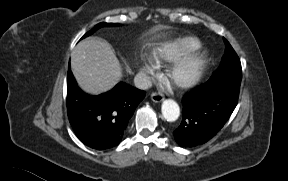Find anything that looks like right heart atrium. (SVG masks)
Listing matches in <instances>:
<instances>
[{
  "label": "right heart atrium",
  "instance_id": "obj_1",
  "mask_svg": "<svg viewBox=\"0 0 288 181\" xmlns=\"http://www.w3.org/2000/svg\"><path fill=\"white\" fill-rule=\"evenodd\" d=\"M154 69V64L151 60L146 61L142 66H141V71L142 72H149Z\"/></svg>",
  "mask_w": 288,
  "mask_h": 181
}]
</instances>
